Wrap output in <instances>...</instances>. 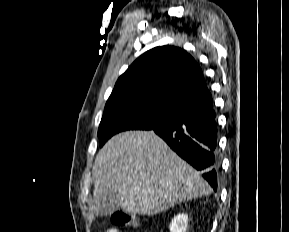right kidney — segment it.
I'll return each mask as SVG.
<instances>
[{
	"instance_id": "right-kidney-1",
	"label": "right kidney",
	"mask_w": 289,
	"mask_h": 232,
	"mask_svg": "<svg viewBox=\"0 0 289 232\" xmlns=\"http://www.w3.org/2000/svg\"><path fill=\"white\" fill-rule=\"evenodd\" d=\"M188 226V215L179 213L174 216L170 223V232H186Z\"/></svg>"
}]
</instances>
